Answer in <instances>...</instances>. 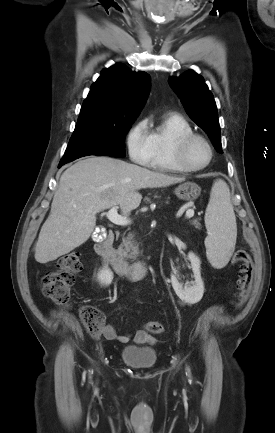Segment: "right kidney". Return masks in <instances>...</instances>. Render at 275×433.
Here are the masks:
<instances>
[{
  "label": "right kidney",
  "instance_id": "obj_1",
  "mask_svg": "<svg viewBox=\"0 0 275 433\" xmlns=\"http://www.w3.org/2000/svg\"><path fill=\"white\" fill-rule=\"evenodd\" d=\"M97 279L103 285H109L113 279V273L109 268H104L97 274Z\"/></svg>",
  "mask_w": 275,
  "mask_h": 433
}]
</instances>
